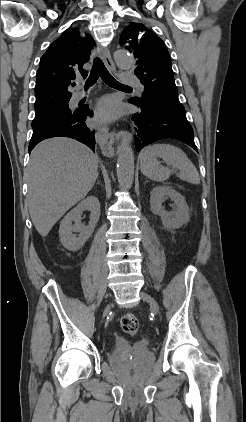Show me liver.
<instances>
[{"label": "liver", "mask_w": 246, "mask_h": 422, "mask_svg": "<svg viewBox=\"0 0 246 422\" xmlns=\"http://www.w3.org/2000/svg\"><path fill=\"white\" fill-rule=\"evenodd\" d=\"M97 177L98 156L74 139L51 138L33 149L26 170V204L42 237L87 195Z\"/></svg>", "instance_id": "obj_1"}]
</instances>
